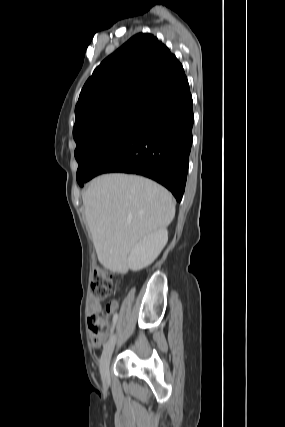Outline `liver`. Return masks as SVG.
<instances>
[{
  "label": "liver",
  "mask_w": 285,
  "mask_h": 427,
  "mask_svg": "<svg viewBox=\"0 0 285 427\" xmlns=\"http://www.w3.org/2000/svg\"><path fill=\"white\" fill-rule=\"evenodd\" d=\"M85 217L98 260L123 269L139 240L168 226L175 216L172 195L144 177L104 174L82 194Z\"/></svg>",
  "instance_id": "6515ba94"
}]
</instances>
